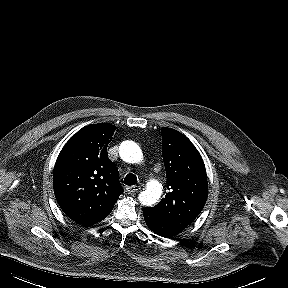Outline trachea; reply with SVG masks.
<instances>
[{
  "label": "trachea",
  "mask_w": 288,
  "mask_h": 288,
  "mask_svg": "<svg viewBox=\"0 0 288 288\" xmlns=\"http://www.w3.org/2000/svg\"><path fill=\"white\" fill-rule=\"evenodd\" d=\"M124 184L128 186L136 185L137 177L132 173L127 174L126 177L124 178Z\"/></svg>",
  "instance_id": "trachea-1"
}]
</instances>
